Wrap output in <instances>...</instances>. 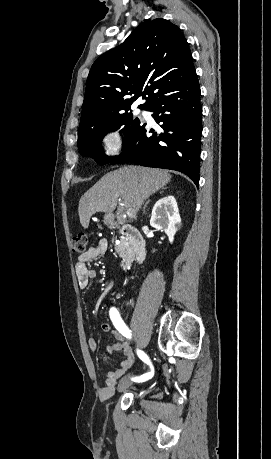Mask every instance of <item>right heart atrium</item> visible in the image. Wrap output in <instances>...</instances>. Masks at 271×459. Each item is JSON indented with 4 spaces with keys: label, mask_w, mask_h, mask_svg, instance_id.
Listing matches in <instances>:
<instances>
[{
    "label": "right heart atrium",
    "mask_w": 271,
    "mask_h": 459,
    "mask_svg": "<svg viewBox=\"0 0 271 459\" xmlns=\"http://www.w3.org/2000/svg\"><path fill=\"white\" fill-rule=\"evenodd\" d=\"M97 141L102 154L106 157L119 155L125 146L124 133L119 126H110L103 129Z\"/></svg>",
    "instance_id": "d8ad5b80"
}]
</instances>
